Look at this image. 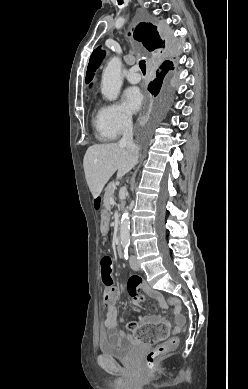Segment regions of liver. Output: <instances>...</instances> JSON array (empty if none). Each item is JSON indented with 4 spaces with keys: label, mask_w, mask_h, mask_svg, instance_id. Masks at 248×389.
<instances>
[{
    "label": "liver",
    "mask_w": 248,
    "mask_h": 389,
    "mask_svg": "<svg viewBox=\"0 0 248 389\" xmlns=\"http://www.w3.org/2000/svg\"><path fill=\"white\" fill-rule=\"evenodd\" d=\"M137 158L130 151L116 143L90 146L83 159L85 177L93 197L100 195L103 187L117 171L122 178L136 164Z\"/></svg>",
    "instance_id": "1"
}]
</instances>
